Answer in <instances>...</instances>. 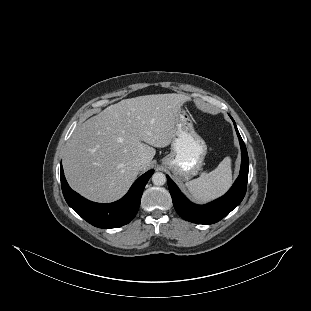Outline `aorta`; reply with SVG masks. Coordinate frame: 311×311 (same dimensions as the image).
Segmentation results:
<instances>
[{
  "instance_id": "aorta-1",
  "label": "aorta",
  "mask_w": 311,
  "mask_h": 311,
  "mask_svg": "<svg viewBox=\"0 0 311 311\" xmlns=\"http://www.w3.org/2000/svg\"><path fill=\"white\" fill-rule=\"evenodd\" d=\"M167 182L166 175L162 172H156L152 175V183L156 186H163Z\"/></svg>"
}]
</instances>
